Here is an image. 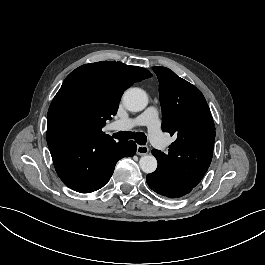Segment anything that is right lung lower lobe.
Wrapping results in <instances>:
<instances>
[{
    "instance_id": "obj_1",
    "label": "right lung lower lobe",
    "mask_w": 265,
    "mask_h": 265,
    "mask_svg": "<svg viewBox=\"0 0 265 265\" xmlns=\"http://www.w3.org/2000/svg\"><path fill=\"white\" fill-rule=\"evenodd\" d=\"M47 144L56 172L74 191L91 193L102 188L113 174L117 161L132 157L134 141L115 142L109 135L47 130Z\"/></svg>"
}]
</instances>
